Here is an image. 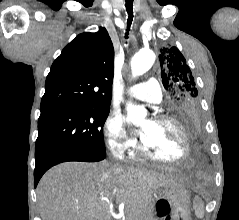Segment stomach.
I'll return each instance as SVG.
<instances>
[{
	"label": "stomach",
	"instance_id": "1",
	"mask_svg": "<svg viewBox=\"0 0 239 220\" xmlns=\"http://www.w3.org/2000/svg\"><path fill=\"white\" fill-rule=\"evenodd\" d=\"M160 198L155 203V215L161 220H189V195L183 186L159 189Z\"/></svg>",
	"mask_w": 239,
	"mask_h": 220
}]
</instances>
